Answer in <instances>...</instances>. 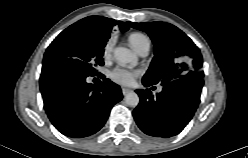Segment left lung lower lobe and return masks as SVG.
Masks as SVG:
<instances>
[{
  "mask_svg": "<svg viewBox=\"0 0 248 158\" xmlns=\"http://www.w3.org/2000/svg\"><path fill=\"white\" fill-rule=\"evenodd\" d=\"M144 86L153 83L142 79ZM203 87L201 78L183 77L169 82L163 90L151 95L149 89H138L140 103L133 111L139 128L154 137L168 138L179 134L193 117Z\"/></svg>",
  "mask_w": 248,
  "mask_h": 158,
  "instance_id": "1",
  "label": "left lung lower lobe"
}]
</instances>
